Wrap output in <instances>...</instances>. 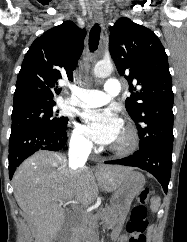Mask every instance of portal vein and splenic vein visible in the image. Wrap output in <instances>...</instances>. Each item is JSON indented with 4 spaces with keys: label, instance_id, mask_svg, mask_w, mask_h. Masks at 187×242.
Masks as SVG:
<instances>
[{
    "label": "portal vein and splenic vein",
    "instance_id": "portal-vein-and-splenic-vein-1",
    "mask_svg": "<svg viewBox=\"0 0 187 242\" xmlns=\"http://www.w3.org/2000/svg\"><path fill=\"white\" fill-rule=\"evenodd\" d=\"M70 203L78 204L77 201H71ZM66 204H68V203H62V202L60 203V205H64V206H65Z\"/></svg>",
    "mask_w": 187,
    "mask_h": 242
}]
</instances>
